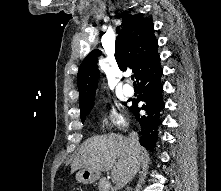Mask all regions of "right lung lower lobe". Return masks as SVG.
<instances>
[{
  "mask_svg": "<svg viewBox=\"0 0 221 191\" xmlns=\"http://www.w3.org/2000/svg\"><path fill=\"white\" fill-rule=\"evenodd\" d=\"M159 61L160 59L137 78L141 93L137 100L133 101L132 106L129 107L140 126V144L147 150H153L155 147L158 138V127L161 124L160 114L165 106L162 100L163 86L160 82L163 71ZM140 101H143V105L138 107ZM140 110H144L146 114L140 115Z\"/></svg>",
  "mask_w": 221,
  "mask_h": 191,
  "instance_id": "right-lung-lower-lobe-1",
  "label": "right lung lower lobe"
}]
</instances>
